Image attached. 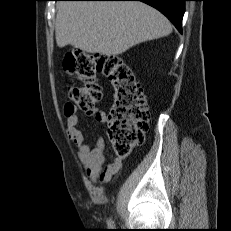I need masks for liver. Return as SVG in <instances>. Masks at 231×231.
Listing matches in <instances>:
<instances>
[{
    "mask_svg": "<svg viewBox=\"0 0 231 231\" xmlns=\"http://www.w3.org/2000/svg\"><path fill=\"white\" fill-rule=\"evenodd\" d=\"M56 43L88 53L116 56L172 32L159 11L134 1H61L57 4Z\"/></svg>",
    "mask_w": 231,
    "mask_h": 231,
    "instance_id": "1",
    "label": "liver"
}]
</instances>
